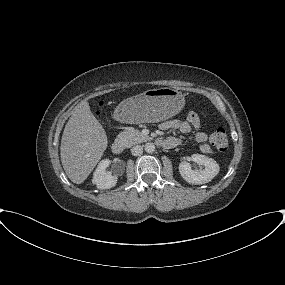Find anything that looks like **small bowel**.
<instances>
[{"instance_id":"obj_1","label":"small bowel","mask_w":285,"mask_h":285,"mask_svg":"<svg viewBox=\"0 0 285 285\" xmlns=\"http://www.w3.org/2000/svg\"><path fill=\"white\" fill-rule=\"evenodd\" d=\"M164 131L177 129L183 134L189 135L194 133V139L198 143H205L207 141V134L201 130V122L198 115L194 112L189 113L185 120H168L160 125ZM180 139L177 137H168L164 140L163 144L166 147L172 148L180 144Z\"/></svg>"}]
</instances>
